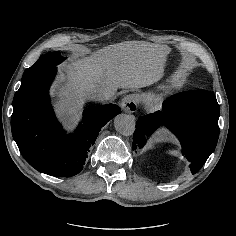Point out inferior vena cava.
Here are the masks:
<instances>
[{
	"instance_id": "1",
	"label": "inferior vena cava",
	"mask_w": 236,
	"mask_h": 236,
	"mask_svg": "<svg viewBox=\"0 0 236 236\" xmlns=\"http://www.w3.org/2000/svg\"><path fill=\"white\" fill-rule=\"evenodd\" d=\"M113 95L111 90H106L104 87H96L91 92V98L98 101L109 100Z\"/></svg>"
}]
</instances>
